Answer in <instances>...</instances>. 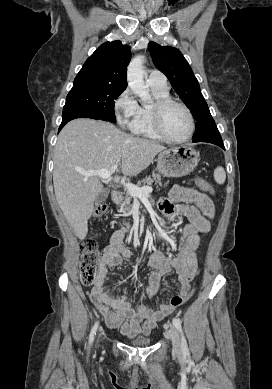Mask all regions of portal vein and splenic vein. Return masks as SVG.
I'll use <instances>...</instances> for the list:
<instances>
[{
    "label": "portal vein and splenic vein",
    "mask_w": 272,
    "mask_h": 389,
    "mask_svg": "<svg viewBox=\"0 0 272 389\" xmlns=\"http://www.w3.org/2000/svg\"><path fill=\"white\" fill-rule=\"evenodd\" d=\"M117 167H118V163L114 164L110 170L101 169V170H96V171L82 172V174L86 177L96 176V177H100L102 179H111V176L113 173H115V171L117 170ZM113 181L118 183L119 179L114 178ZM124 187L128 190L130 195H132L133 197H142L144 195L151 193L153 190L152 187H150V186H144V187L139 188L138 186H136L132 183H126V184H124Z\"/></svg>",
    "instance_id": "portal-vein-and-splenic-vein-1"
}]
</instances>
